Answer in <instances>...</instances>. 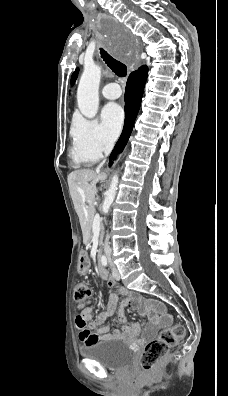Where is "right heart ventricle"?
I'll list each match as a JSON object with an SVG mask.
<instances>
[{
    "mask_svg": "<svg viewBox=\"0 0 228 396\" xmlns=\"http://www.w3.org/2000/svg\"><path fill=\"white\" fill-rule=\"evenodd\" d=\"M83 161L86 162V163H92V162H94V161L88 160V159H84Z\"/></svg>",
    "mask_w": 228,
    "mask_h": 396,
    "instance_id": "e07e8e85",
    "label": "right heart ventricle"
}]
</instances>
